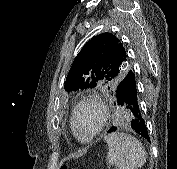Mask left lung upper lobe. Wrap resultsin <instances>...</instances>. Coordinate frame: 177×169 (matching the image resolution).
<instances>
[{
  "mask_svg": "<svg viewBox=\"0 0 177 169\" xmlns=\"http://www.w3.org/2000/svg\"><path fill=\"white\" fill-rule=\"evenodd\" d=\"M130 67L121 41L111 33L89 40L78 53L64 82L66 91L107 88L115 91Z\"/></svg>",
  "mask_w": 177,
  "mask_h": 169,
  "instance_id": "1",
  "label": "left lung upper lobe"
}]
</instances>
